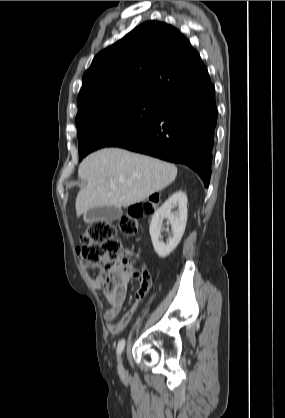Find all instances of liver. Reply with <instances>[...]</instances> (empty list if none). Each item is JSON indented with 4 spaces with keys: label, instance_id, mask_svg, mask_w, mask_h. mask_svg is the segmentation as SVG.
I'll list each match as a JSON object with an SVG mask.
<instances>
[{
    "label": "liver",
    "instance_id": "obj_1",
    "mask_svg": "<svg viewBox=\"0 0 285 418\" xmlns=\"http://www.w3.org/2000/svg\"><path fill=\"white\" fill-rule=\"evenodd\" d=\"M78 175L87 181L76 198L77 215L94 207H129L171 184L173 164L120 148H105L88 155Z\"/></svg>",
    "mask_w": 285,
    "mask_h": 418
}]
</instances>
